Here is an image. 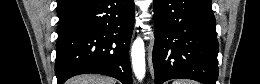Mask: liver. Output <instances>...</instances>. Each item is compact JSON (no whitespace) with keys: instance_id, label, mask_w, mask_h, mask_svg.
<instances>
[{"instance_id":"1","label":"liver","mask_w":260,"mask_h":84,"mask_svg":"<svg viewBox=\"0 0 260 84\" xmlns=\"http://www.w3.org/2000/svg\"><path fill=\"white\" fill-rule=\"evenodd\" d=\"M68 84H116V81L107 76L85 74L70 79Z\"/></svg>"}]
</instances>
